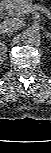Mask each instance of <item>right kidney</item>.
Instances as JSON below:
<instances>
[{
  "label": "right kidney",
  "instance_id": "obj_1",
  "mask_svg": "<svg viewBox=\"0 0 51 153\" xmlns=\"http://www.w3.org/2000/svg\"><path fill=\"white\" fill-rule=\"evenodd\" d=\"M5 52H6V49L4 48V45L1 44V47H0V56H1L0 58H1V60L4 59Z\"/></svg>",
  "mask_w": 51,
  "mask_h": 153
}]
</instances>
